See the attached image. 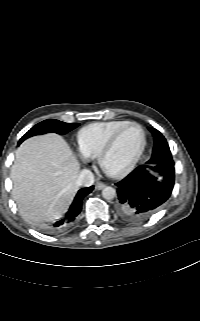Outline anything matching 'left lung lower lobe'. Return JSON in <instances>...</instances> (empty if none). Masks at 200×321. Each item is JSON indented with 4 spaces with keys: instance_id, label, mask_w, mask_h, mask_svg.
<instances>
[{
    "instance_id": "1",
    "label": "left lung lower lobe",
    "mask_w": 200,
    "mask_h": 321,
    "mask_svg": "<svg viewBox=\"0 0 200 321\" xmlns=\"http://www.w3.org/2000/svg\"><path fill=\"white\" fill-rule=\"evenodd\" d=\"M174 181L172 158L138 166L116 184L121 219L130 223L149 219L170 197Z\"/></svg>"
}]
</instances>
